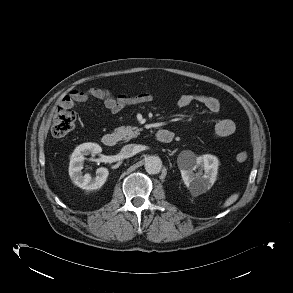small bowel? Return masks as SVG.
I'll list each match as a JSON object with an SVG mask.
<instances>
[{
  "mask_svg": "<svg viewBox=\"0 0 293 293\" xmlns=\"http://www.w3.org/2000/svg\"><path fill=\"white\" fill-rule=\"evenodd\" d=\"M91 98L101 100L104 107L111 114L120 113L127 106H136L148 103L153 100V95L149 92H141L135 95L123 93L114 96L110 90L101 87H91L87 90L74 89L66 95L60 102V106L71 109L76 104L86 102ZM194 102H199L212 114L220 111L218 99L202 94H185L179 97L177 105L179 108H187ZM236 130L235 123L230 119H219L216 121L213 135L216 138H226Z\"/></svg>",
  "mask_w": 293,
  "mask_h": 293,
  "instance_id": "obj_1",
  "label": "small bowel"
}]
</instances>
